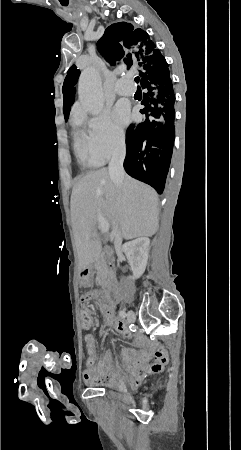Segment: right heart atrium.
I'll use <instances>...</instances> for the list:
<instances>
[{"label":"right heart atrium","mask_w":241,"mask_h":450,"mask_svg":"<svg viewBox=\"0 0 241 450\" xmlns=\"http://www.w3.org/2000/svg\"><path fill=\"white\" fill-rule=\"evenodd\" d=\"M73 122L78 130H85L88 155L107 161L115 155L124 154L125 131L113 121L107 110L92 119L90 116H74Z\"/></svg>","instance_id":"d8ad5b80"}]
</instances>
